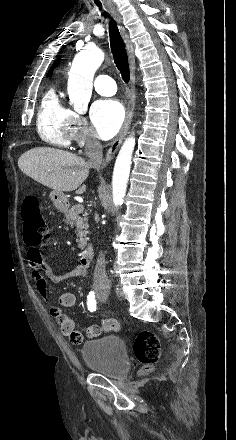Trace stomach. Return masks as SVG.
Listing matches in <instances>:
<instances>
[{"mask_svg": "<svg viewBox=\"0 0 236 440\" xmlns=\"http://www.w3.org/2000/svg\"><path fill=\"white\" fill-rule=\"evenodd\" d=\"M50 198L58 211L66 212L68 210V198L62 191L53 190L50 194Z\"/></svg>", "mask_w": 236, "mask_h": 440, "instance_id": "obj_1", "label": "stomach"}]
</instances>
